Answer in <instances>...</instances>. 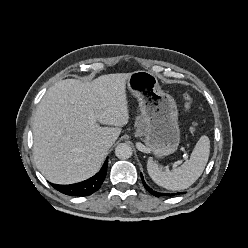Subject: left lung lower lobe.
I'll list each match as a JSON object with an SVG mask.
<instances>
[{"mask_svg": "<svg viewBox=\"0 0 248 248\" xmlns=\"http://www.w3.org/2000/svg\"><path fill=\"white\" fill-rule=\"evenodd\" d=\"M141 178H142V182L144 184V187L147 189V191H149L152 195L156 196V197H160V196H173V195H179L181 193H173V194H165V193H159V192H156V191H153L144 181L143 179V176L141 174Z\"/></svg>", "mask_w": 248, "mask_h": 248, "instance_id": "1", "label": "left lung lower lobe"}]
</instances>
